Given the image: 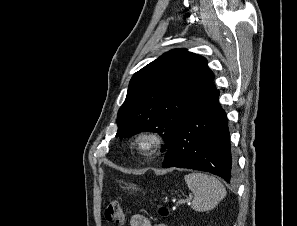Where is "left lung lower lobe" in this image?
<instances>
[{
	"instance_id": "left-lung-lower-lobe-1",
	"label": "left lung lower lobe",
	"mask_w": 297,
	"mask_h": 226,
	"mask_svg": "<svg viewBox=\"0 0 297 226\" xmlns=\"http://www.w3.org/2000/svg\"><path fill=\"white\" fill-rule=\"evenodd\" d=\"M218 96L216 89L206 94L183 120L162 167L210 172L228 183L234 179L235 162L230 151L227 118Z\"/></svg>"
}]
</instances>
